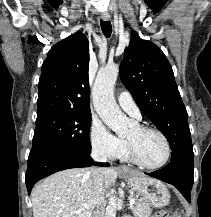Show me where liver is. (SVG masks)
<instances>
[{
    "label": "liver",
    "mask_w": 211,
    "mask_h": 217,
    "mask_svg": "<svg viewBox=\"0 0 211 217\" xmlns=\"http://www.w3.org/2000/svg\"><path fill=\"white\" fill-rule=\"evenodd\" d=\"M102 171L106 190L118 173L113 168ZM31 200L33 217H92L98 203L105 205L104 195L99 202L95 193L94 170L85 168L67 169L49 176L33 188Z\"/></svg>",
    "instance_id": "obj_1"
}]
</instances>
